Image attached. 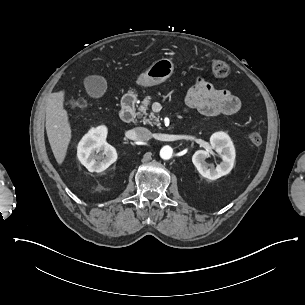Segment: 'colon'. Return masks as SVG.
Listing matches in <instances>:
<instances>
[{
  "label": "colon",
  "mask_w": 305,
  "mask_h": 305,
  "mask_svg": "<svg viewBox=\"0 0 305 305\" xmlns=\"http://www.w3.org/2000/svg\"><path fill=\"white\" fill-rule=\"evenodd\" d=\"M202 53L203 51L200 50ZM212 70L214 74L218 77H226L229 74L228 65L221 60L211 59L210 60ZM86 103L80 100H74L71 102L72 107H84ZM250 142L255 147H260L264 143V130L262 128H258L254 131H251L249 134Z\"/></svg>",
  "instance_id": "1"
}]
</instances>
